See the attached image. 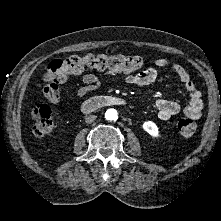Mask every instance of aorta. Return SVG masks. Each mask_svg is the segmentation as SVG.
<instances>
[{
  "label": "aorta",
  "instance_id": "obj_1",
  "mask_svg": "<svg viewBox=\"0 0 221 221\" xmlns=\"http://www.w3.org/2000/svg\"><path fill=\"white\" fill-rule=\"evenodd\" d=\"M105 118L107 120H117L118 119V113L115 109H108L105 113Z\"/></svg>",
  "mask_w": 221,
  "mask_h": 221
}]
</instances>
